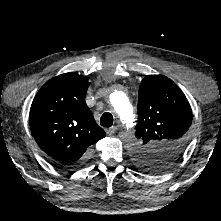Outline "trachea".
<instances>
[{
  "label": "trachea",
  "instance_id": "1",
  "mask_svg": "<svg viewBox=\"0 0 221 221\" xmlns=\"http://www.w3.org/2000/svg\"><path fill=\"white\" fill-rule=\"evenodd\" d=\"M100 125L103 127H111L113 125V116L111 113H104L100 118Z\"/></svg>",
  "mask_w": 221,
  "mask_h": 221
}]
</instances>
